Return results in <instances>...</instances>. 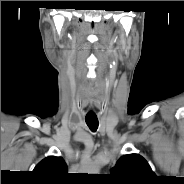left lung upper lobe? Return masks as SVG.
<instances>
[{"mask_svg":"<svg viewBox=\"0 0 184 184\" xmlns=\"http://www.w3.org/2000/svg\"><path fill=\"white\" fill-rule=\"evenodd\" d=\"M110 175L116 184H151L156 176L147 161L138 154L122 156Z\"/></svg>","mask_w":184,"mask_h":184,"instance_id":"obj_1","label":"left lung upper lobe"}]
</instances>
